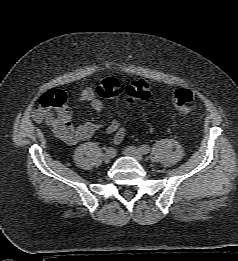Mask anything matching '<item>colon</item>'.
<instances>
[{
  "instance_id": "colon-1",
  "label": "colon",
  "mask_w": 238,
  "mask_h": 261,
  "mask_svg": "<svg viewBox=\"0 0 238 261\" xmlns=\"http://www.w3.org/2000/svg\"><path fill=\"white\" fill-rule=\"evenodd\" d=\"M120 91V83L114 78L102 81L96 88V92L101 98L116 97ZM150 94V86L144 80L132 81L125 88V97L130 103L145 101ZM194 100L195 94L189 89L179 88L172 94L174 107L183 115L192 111ZM35 115L38 119L45 118L51 126L64 122L70 116L66 93L55 89L45 92L39 98Z\"/></svg>"
}]
</instances>
